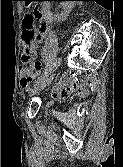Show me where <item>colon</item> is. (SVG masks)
<instances>
[{
  "instance_id": "colon-1",
  "label": "colon",
  "mask_w": 123,
  "mask_h": 167,
  "mask_svg": "<svg viewBox=\"0 0 123 167\" xmlns=\"http://www.w3.org/2000/svg\"><path fill=\"white\" fill-rule=\"evenodd\" d=\"M22 28V59L25 63H34L35 65H39V62L36 60V45L42 39L43 33L46 30V24L43 21V14L39 7H35L26 13Z\"/></svg>"
}]
</instances>
